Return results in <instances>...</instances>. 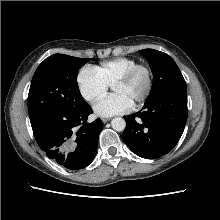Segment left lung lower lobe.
Instances as JSON below:
<instances>
[{
  "mask_svg": "<svg viewBox=\"0 0 220 220\" xmlns=\"http://www.w3.org/2000/svg\"><path fill=\"white\" fill-rule=\"evenodd\" d=\"M187 89H173L146 102L139 112L124 116V142L138 156L156 159L179 141L187 121ZM141 121L138 123L135 118Z\"/></svg>",
  "mask_w": 220,
  "mask_h": 220,
  "instance_id": "left-lung-lower-lobe-1",
  "label": "left lung lower lobe"
}]
</instances>
